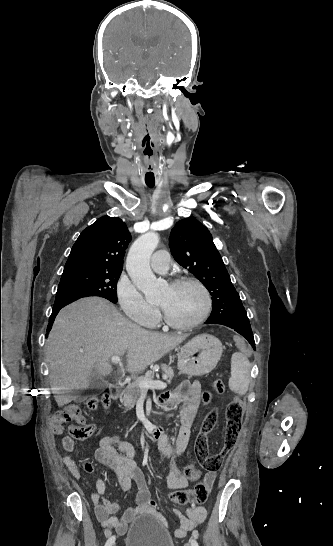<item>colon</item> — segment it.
<instances>
[{
	"instance_id": "1",
	"label": "colon",
	"mask_w": 333,
	"mask_h": 546,
	"mask_svg": "<svg viewBox=\"0 0 333 546\" xmlns=\"http://www.w3.org/2000/svg\"><path fill=\"white\" fill-rule=\"evenodd\" d=\"M212 391L216 394H222L225 391V384L222 380L216 379L212 383ZM238 399L231 401L226 408L225 418L226 427L224 442L222 448L215 453H210L208 434L213 430L217 423V412L210 411L203 420L201 432L198 435L194 452L197 461L207 472L218 471L227 456V454L235 447L241 428L244 415V405L240 400L242 397L239 395ZM212 399V394L209 391H205L201 395V400L204 404H208ZM111 398L107 393L103 394L99 400L96 397H90L86 401V407L88 409H95L100 403L104 407L110 405ZM66 414L71 416H77L80 414V410L75 405H70L66 408ZM66 414L57 413L53 417V429L56 433L63 431V424L65 422ZM95 431V425L79 423L78 425H71L68 428L69 434L78 440L88 439L93 435ZM199 470L192 464L187 465L184 469V475L191 477L196 475ZM209 490L207 486L202 482H198L192 490H178L169 495L172 502L179 505H187L192 502L204 503L207 501Z\"/></svg>"
}]
</instances>
